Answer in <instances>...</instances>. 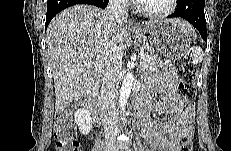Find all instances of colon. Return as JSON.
I'll return each mask as SVG.
<instances>
[{"label": "colon", "instance_id": "1", "mask_svg": "<svg viewBox=\"0 0 231 151\" xmlns=\"http://www.w3.org/2000/svg\"><path fill=\"white\" fill-rule=\"evenodd\" d=\"M196 75L197 67L194 63L186 61L181 65L177 93L190 106H193L196 96ZM70 116L69 111H62L56 116L54 138L57 151H83L79 143L70 136ZM192 149V139L187 138L181 143L179 151H192Z\"/></svg>", "mask_w": 231, "mask_h": 151}]
</instances>
